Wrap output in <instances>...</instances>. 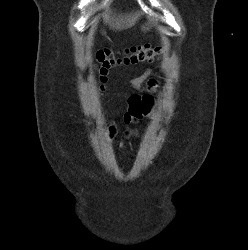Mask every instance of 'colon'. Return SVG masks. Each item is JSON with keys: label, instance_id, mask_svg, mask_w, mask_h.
<instances>
[{"label": "colon", "instance_id": "1", "mask_svg": "<svg viewBox=\"0 0 248 250\" xmlns=\"http://www.w3.org/2000/svg\"><path fill=\"white\" fill-rule=\"evenodd\" d=\"M161 48L150 45L132 46L124 51L123 56L117 57L110 50L101 49L97 52L98 72L100 80L104 81L107 71L119 64L151 63L159 58ZM130 110L136 117L148 115L152 106L149 95H132L129 99Z\"/></svg>", "mask_w": 248, "mask_h": 250}]
</instances>
